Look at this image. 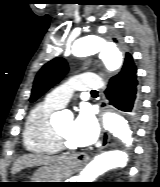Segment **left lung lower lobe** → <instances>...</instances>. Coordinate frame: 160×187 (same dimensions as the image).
<instances>
[{
    "mask_svg": "<svg viewBox=\"0 0 160 187\" xmlns=\"http://www.w3.org/2000/svg\"><path fill=\"white\" fill-rule=\"evenodd\" d=\"M136 73L137 68L133 58L127 55L121 71L109 80L105 90L110 104L132 121L137 120L141 108L140 88Z\"/></svg>",
    "mask_w": 160,
    "mask_h": 187,
    "instance_id": "obj_1",
    "label": "left lung lower lobe"
}]
</instances>
